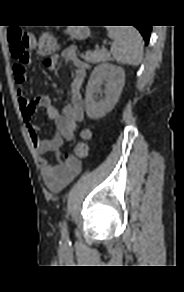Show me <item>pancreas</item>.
Wrapping results in <instances>:
<instances>
[{"label": "pancreas", "mask_w": 184, "mask_h": 292, "mask_svg": "<svg viewBox=\"0 0 184 292\" xmlns=\"http://www.w3.org/2000/svg\"><path fill=\"white\" fill-rule=\"evenodd\" d=\"M81 57L89 63H99L110 60V54L104 49H96L95 51H86Z\"/></svg>", "instance_id": "cf45deb5"}]
</instances>
